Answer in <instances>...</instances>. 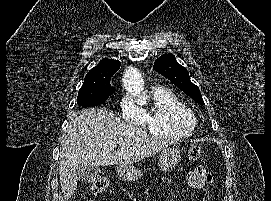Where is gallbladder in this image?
Here are the masks:
<instances>
[{
  "instance_id": "obj_1",
  "label": "gallbladder",
  "mask_w": 271,
  "mask_h": 201,
  "mask_svg": "<svg viewBox=\"0 0 271 201\" xmlns=\"http://www.w3.org/2000/svg\"><path fill=\"white\" fill-rule=\"evenodd\" d=\"M103 174L104 171L96 166L80 164L76 169L77 179L90 184L101 180Z\"/></svg>"
}]
</instances>
